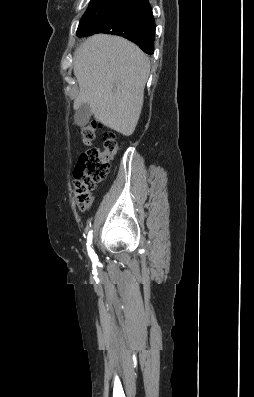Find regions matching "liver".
<instances>
[{"mask_svg":"<svg viewBox=\"0 0 254 397\" xmlns=\"http://www.w3.org/2000/svg\"><path fill=\"white\" fill-rule=\"evenodd\" d=\"M149 73L150 60L138 46L119 36L94 35L75 51L79 95L74 107L87 103L97 121L130 136L140 117Z\"/></svg>","mask_w":254,"mask_h":397,"instance_id":"liver-1","label":"liver"}]
</instances>
